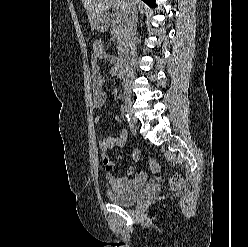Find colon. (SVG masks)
Returning <instances> with one entry per match:
<instances>
[{
    "label": "colon",
    "instance_id": "colon-1",
    "mask_svg": "<svg viewBox=\"0 0 248 247\" xmlns=\"http://www.w3.org/2000/svg\"><path fill=\"white\" fill-rule=\"evenodd\" d=\"M93 49L94 52H102L103 50V43L101 41H96L94 42L93 45ZM132 156L134 158V160L139 161L142 157V154L139 150H134L132 153ZM148 164H149V168L152 172H159L160 171V164L158 163V161H156L155 159H148ZM183 181V178L179 175L174 176L171 180V186L172 188H178L181 186Z\"/></svg>",
    "mask_w": 248,
    "mask_h": 247
}]
</instances>
